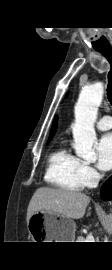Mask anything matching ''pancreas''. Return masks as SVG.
Here are the masks:
<instances>
[{
  "mask_svg": "<svg viewBox=\"0 0 112 270\" xmlns=\"http://www.w3.org/2000/svg\"><path fill=\"white\" fill-rule=\"evenodd\" d=\"M84 237L83 236H78L76 242H84Z\"/></svg>",
  "mask_w": 112,
  "mask_h": 270,
  "instance_id": "cf45deb5",
  "label": "pancreas"
}]
</instances>
